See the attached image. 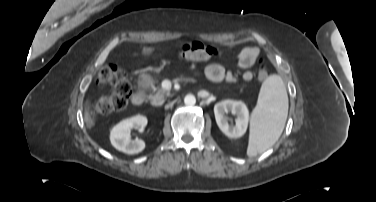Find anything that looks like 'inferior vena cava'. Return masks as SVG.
Instances as JSON below:
<instances>
[{"label":"inferior vena cava","mask_w":376,"mask_h":202,"mask_svg":"<svg viewBox=\"0 0 376 202\" xmlns=\"http://www.w3.org/2000/svg\"><path fill=\"white\" fill-rule=\"evenodd\" d=\"M172 104H170V105H166V108H168V107H170Z\"/></svg>","instance_id":"inferior-vena-cava-1"}]
</instances>
